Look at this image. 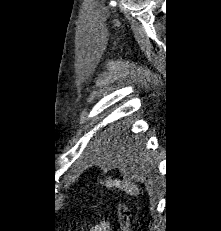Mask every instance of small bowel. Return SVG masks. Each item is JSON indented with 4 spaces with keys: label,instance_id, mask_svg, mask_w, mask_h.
Listing matches in <instances>:
<instances>
[{
    "label": "small bowel",
    "instance_id": "c3829d8e",
    "mask_svg": "<svg viewBox=\"0 0 221 231\" xmlns=\"http://www.w3.org/2000/svg\"><path fill=\"white\" fill-rule=\"evenodd\" d=\"M91 231H110V223L106 220H102L96 224Z\"/></svg>",
    "mask_w": 221,
    "mask_h": 231
}]
</instances>
